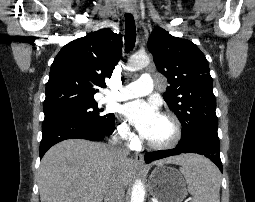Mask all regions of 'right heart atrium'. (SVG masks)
<instances>
[{
	"label": "right heart atrium",
	"mask_w": 255,
	"mask_h": 202,
	"mask_svg": "<svg viewBox=\"0 0 255 202\" xmlns=\"http://www.w3.org/2000/svg\"><path fill=\"white\" fill-rule=\"evenodd\" d=\"M117 135L126 143H132L134 140V135L128 124L125 122H121L117 126Z\"/></svg>",
	"instance_id": "obj_1"
}]
</instances>
